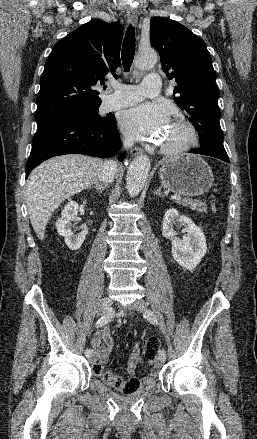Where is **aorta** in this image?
<instances>
[{"label": "aorta", "mask_w": 257, "mask_h": 439, "mask_svg": "<svg viewBox=\"0 0 257 439\" xmlns=\"http://www.w3.org/2000/svg\"><path fill=\"white\" fill-rule=\"evenodd\" d=\"M157 62L154 50H145L138 53L136 66L138 69L147 70ZM150 171V160L146 155L137 156L130 164L127 171V191L131 197L137 196L143 189Z\"/></svg>", "instance_id": "aorta-1"}]
</instances>
